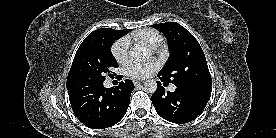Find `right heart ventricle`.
Returning a JSON list of instances; mask_svg holds the SVG:
<instances>
[{
  "mask_svg": "<svg viewBox=\"0 0 276 138\" xmlns=\"http://www.w3.org/2000/svg\"><path fill=\"white\" fill-rule=\"evenodd\" d=\"M131 37L139 42L147 44L151 48L159 47L163 42L162 35L154 29H143L131 35Z\"/></svg>",
  "mask_w": 276,
  "mask_h": 138,
  "instance_id": "right-heart-ventricle-1",
  "label": "right heart ventricle"
}]
</instances>
